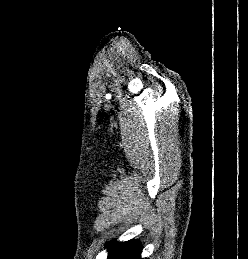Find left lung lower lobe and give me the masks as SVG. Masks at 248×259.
<instances>
[{"label": "left lung lower lobe", "mask_w": 248, "mask_h": 259, "mask_svg": "<svg viewBox=\"0 0 248 259\" xmlns=\"http://www.w3.org/2000/svg\"><path fill=\"white\" fill-rule=\"evenodd\" d=\"M141 245L137 241L111 244L107 259H140Z\"/></svg>", "instance_id": "1"}]
</instances>
